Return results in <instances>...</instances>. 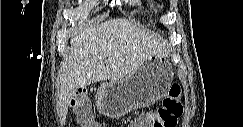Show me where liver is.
<instances>
[{
	"label": "liver",
	"instance_id": "obj_1",
	"mask_svg": "<svg viewBox=\"0 0 243 127\" xmlns=\"http://www.w3.org/2000/svg\"><path fill=\"white\" fill-rule=\"evenodd\" d=\"M70 43V53L59 74V106L63 115L74 89L103 80H122L153 55L167 54L158 35L125 18L110 19L81 30Z\"/></svg>",
	"mask_w": 243,
	"mask_h": 127
}]
</instances>
